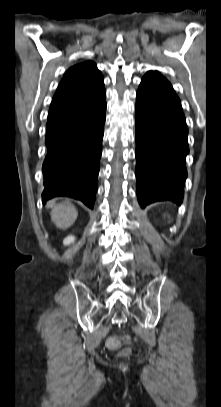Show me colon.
<instances>
[{
  "label": "colon",
  "mask_w": 221,
  "mask_h": 407,
  "mask_svg": "<svg viewBox=\"0 0 221 407\" xmlns=\"http://www.w3.org/2000/svg\"><path fill=\"white\" fill-rule=\"evenodd\" d=\"M120 344H124V348L120 351V355L123 357L129 356L131 353V338L126 336L123 337L122 339H117V338H109L106 342V345L109 349H116L120 346Z\"/></svg>",
  "instance_id": "colon-1"
}]
</instances>
